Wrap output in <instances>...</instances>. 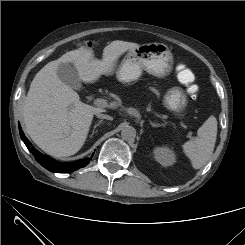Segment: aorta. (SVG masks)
Segmentation results:
<instances>
[{
    "mask_svg": "<svg viewBox=\"0 0 245 245\" xmlns=\"http://www.w3.org/2000/svg\"><path fill=\"white\" fill-rule=\"evenodd\" d=\"M121 136L125 140H133L136 137V130L133 126L125 125L121 130Z\"/></svg>",
    "mask_w": 245,
    "mask_h": 245,
    "instance_id": "aorta-1",
    "label": "aorta"
}]
</instances>
